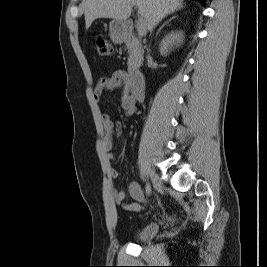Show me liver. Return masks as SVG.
I'll use <instances>...</instances> for the list:
<instances>
[{"mask_svg": "<svg viewBox=\"0 0 267 267\" xmlns=\"http://www.w3.org/2000/svg\"><path fill=\"white\" fill-rule=\"evenodd\" d=\"M137 6L144 18L147 29L153 27L164 17L183 8L182 0H83L86 29L98 18L126 20L132 7Z\"/></svg>", "mask_w": 267, "mask_h": 267, "instance_id": "liver-1", "label": "liver"}]
</instances>
